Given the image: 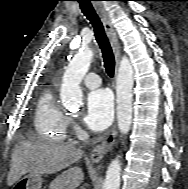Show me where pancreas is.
I'll list each match as a JSON object with an SVG mask.
<instances>
[{
	"label": "pancreas",
	"mask_w": 188,
	"mask_h": 189,
	"mask_svg": "<svg viewBox=\"0 0 188 189\" xmlns=\"http://www.w3.org/2000/svg\"><path fill=\"white\" fill-rule=\"evenodd\" d=\"M60 180H61V177L59 176L56 180H54V181L50 184L49 189H57Z\"/></svg>",
	"instance_id": "obj_1"
}]
</instances>
